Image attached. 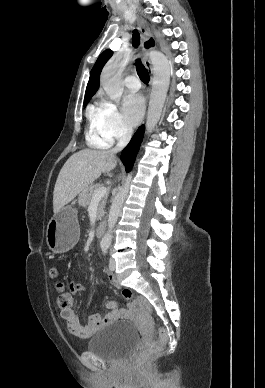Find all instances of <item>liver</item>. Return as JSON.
I'll use <instances>...</instances> for the list:
<instances>
[{"instance_id": "obj_1", "label": "liver", "mask_w": 265, "mask_h": 388, "mask_svg": "<svg viewBox=\"0 0 265 388\" xmlns=\"http://www.w3.org/2000/svg\"><path fill=\"white\" fill-rule=\"evenodd\" d=\"M117 166V158L105 150H80L65 162L56 180L53 192V212L72 202L84 188L93 184L101 174L111 172Z\"/></svg>"}]
</instances>
